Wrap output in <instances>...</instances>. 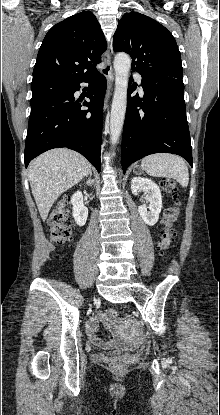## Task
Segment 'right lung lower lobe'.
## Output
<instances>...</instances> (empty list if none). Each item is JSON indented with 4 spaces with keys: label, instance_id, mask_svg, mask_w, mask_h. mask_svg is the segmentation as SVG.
<instances>
[{
    "label": "right lung lower lobe",
    "instance_id": "obj_1",
    "mask_svg": "<svg viewBox=\"0 0 220 415\" xmlns=\"http://www.w3.org/2000/svg\"><path fill=\"white\" fill-rule=\"evenodd\" d=\"M92 81L87 94L90 102L74 99L81 82ZM106 78L98 72L71 83L61 96L31 107L25 143V166L39 154L53 148L67 147L85 156L98 172L101 170L103 101ZM89 107L81 110V106Z\"/></svg>",
    "mask_w": 220,
    "mask_h": 415
}]
</instances>
